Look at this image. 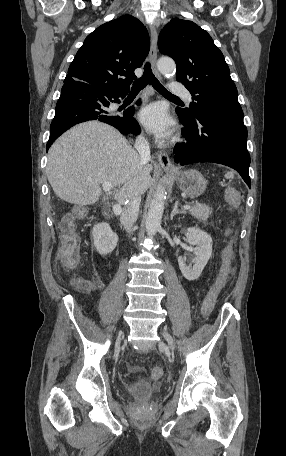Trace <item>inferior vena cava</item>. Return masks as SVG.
<instances>
[{"mask_svg": "<svg viewBox=\"0 0 286 456\" xmlns=\"http://www.w3.org/2000/svg\"><path fill=\"white\" fill-rule=\"evenodd\" d=\"M138 151L141 164H145L150 159V147L148 141L143 136H138L134 145ZM141 202V188L136 185L124 203L123 211L120 216V221L127 232H131L133 224L136 222Z\"/></svg>", "mask_w": 286, "mask_h": 456, "instance_id": "1", "label": "inferior vena cava"}]
</instances>
